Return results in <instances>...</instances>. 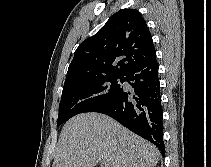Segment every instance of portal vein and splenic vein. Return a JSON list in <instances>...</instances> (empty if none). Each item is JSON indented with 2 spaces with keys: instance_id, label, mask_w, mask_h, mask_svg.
Segmentation results:
<instances>
[{
  "instance_id": "1",
  "label": "portal vein and splenic vein",
  "mask_w": 211,
  "mask_h": 167,
  "mask_svg": "<svg viewBox=\"0 0 211 167\" xmlns=\"http://www.w3.org/2000/svg\"><path fill=\"white\" fill-rule=\"evenodd\" d=\"M101 165H102V167H108V162L107 161H102Z\"/></svg>"
}]
</instances>
